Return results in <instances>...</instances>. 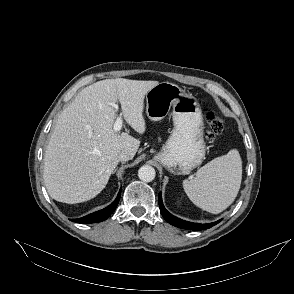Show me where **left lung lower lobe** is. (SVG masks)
Wrapping results in <instances>:
<instances>
[{
  "label": "left lung lower lobe",
  "mask_w": 294,
  "mask_h": 294,
  "mask_svg": "<svg viewBox=\"0 0 294 294\" xmlns=\"http://www.w3.org/2000/svg\"><path fill=\"white\" fill-rule=\"evenodd\" d=\"M158 202H159V208H160V212L162 214V216L164 217V219L179 228L182 229H188V230H205L208 228H211L212 226L216 225L217 223H219L221 220L214 222V223H209V224H198V223H191V222H187L184 220H181L173 215H171L164 207L163 202H162V197H161V193H159V197H158Z\"/></svg>",
  "instance_id": "obj_1"
}]
</instances>
